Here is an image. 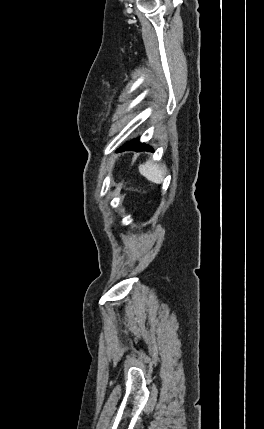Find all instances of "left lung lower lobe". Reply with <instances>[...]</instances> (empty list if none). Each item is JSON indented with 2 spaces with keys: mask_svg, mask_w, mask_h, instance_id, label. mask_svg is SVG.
<instances>
[{
  "mask_svg": "<svg viewBox=\"0 0 264 429\" xmlns=\"http://www.w3.org/2000/svg\"><path fill=\"white\" fill-rule=\"evenodd\" d=\"M126 150H135V151H151L152 148L143 143L139 142V139H134L128 143H126L123 147H121L118 151H126Z\"/></svg>",
  "mask_w": 264,
  "mask_h": 429,
  "instance_id": "0a47b994",
  "label": "left lung lower lobe"
}]
</instances>
